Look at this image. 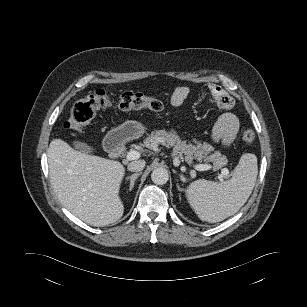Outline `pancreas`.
I'll use <instances>...</instances> for the list:
<instances>
[{
    "instance_id": "obj_1",
    "label": "pancreas",
    "mask_w": 307,
    "mask_h": 307,
    "mask_svg": "<svg viewBox=\"0 0 307 307\" xmlns=\"http://www.w3.org/2000/svg\"><path fill=\"white\" fill-rule=\"evenodd\" d=\"M192 144L185 140H181L175 131L167 132L166 130H154L143 141V146L149 149H155L158 144L173 148V154L182 161L192 164L193 160L212 163V168L218 170L225 166L228 162L225 155H221L219 151H215L214 147L208 143H201L196 139Z\"/></svg>"
}]
</instances>
